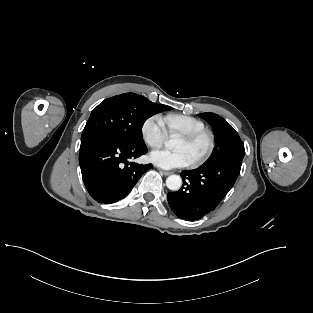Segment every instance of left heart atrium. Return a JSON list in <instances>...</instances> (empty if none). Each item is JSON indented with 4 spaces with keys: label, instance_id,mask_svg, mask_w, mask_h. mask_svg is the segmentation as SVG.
I'll list each match as a JSON object with an SVG mask.
<instances>
[{
    "label": "left heart atrium",
    "instance_id": "obj_1",
    "mask_svg": "<svg viewBox=\"0 0 313 313\" xmlns=\"http://www.w3.org/2000/svg\"><path fill=\"white\" fill-rule=\"evenodd\" d=\"M149 158L155 165L164 169L186 167L191 164V159L183 150L157 149L150 153Z\"/></svg>",
    "mask_w": 313,
    "mask_h": 313
}]
</instances>
